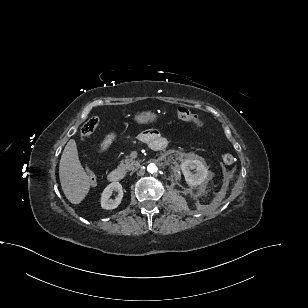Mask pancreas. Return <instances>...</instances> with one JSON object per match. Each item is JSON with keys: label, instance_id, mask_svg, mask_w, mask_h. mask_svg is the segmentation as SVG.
Returning <instances> with one entry per match:
<instances>
[{"label": "pancreas", "instance_id": "obj_1", "mask_svg": "<svg viewBox=\"0 0 308 308\" xmlns=\"http://www.w3.org/2000/svg\"><path fill=\"white\" fill-rule=\"evenodd\" d=\"M139 166V162L133 160L132 158H126L125 160H122L119 168L124 170V171H131L135 169V167Z\"/></svg>", "mask_w": 308, "mask_h": 308}]
</instances>
